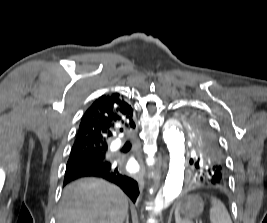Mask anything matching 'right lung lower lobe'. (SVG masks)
<instances>
[{"label":"right lung lower lobe","instance_id":"right-lung-lower-lobe-1","mask_svg":"<svg viewBox=\"0 0 267 223\" xmlns=\"http://www.w3.org/2000/svg\"><path fill=\"white\" fill-rule=\"evenodd\" d=\"M83 177L102 178L118 185L134 203L139 195L138 183L124 175L121 168L108 159L83 160L72 167L66 168L64 185Z\"/></svg>","mask_w":267,"mask_h":223}]
</instances>
